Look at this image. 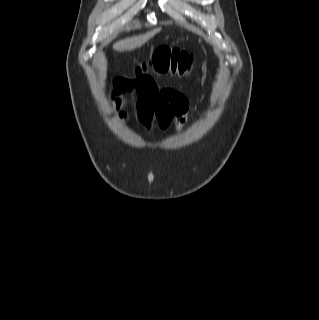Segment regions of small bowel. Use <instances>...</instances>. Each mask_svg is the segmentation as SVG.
I'll list each match as a JSON object with an SVG mask.
<instances>
[{
	"label": "small bowel",
	"instance_id": "1",
	"mask_svg": "<svg viewBox=\"0 0 319 320\" xmlns=\"http://www.w3.org/2000/svg\"><path fill=\"white\" fill-rule=\"evenodd\" d=\"M122 87H117L120 92ZM138 91V113H146L154 116L163 125L169 126L173 121L176 129H180L186 120L188 102L183 94L172 88L158 89L155 81L144 76L130 85ZM125 100L117 99L115 108H121Z\"/></svg>",
	"mask_w": 319,
	"mask_h": 320
}]
</instances>
